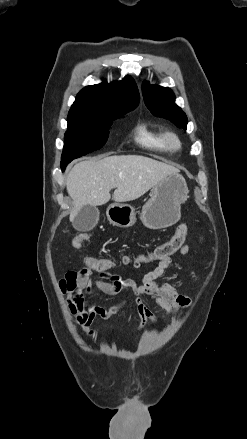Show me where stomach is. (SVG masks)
Returning a JSON list of instances; mask_svg holds the SVG:
<instances>
[{
  "label": "stomach",
  "mask_w": 247,
  "mask_h": 439,
  "mask_svg": "<svg viewBox=\"0 0 247 439\" xmlns=\"http://www.w3.org/2000/svg\"><path fill=\"white\" fill-rule=\"evenodd\" d=\"M188 193L186 181L180 174L168 175L153 187L151 198L142 207V223L153 230L175 224L180 219L181 204L188 199ZM106 215L117 227H131L136 222L135 210L128 204L113 203Z\"/></svg>",
  "instance_id": "stomach-1"
}]
</instances>
